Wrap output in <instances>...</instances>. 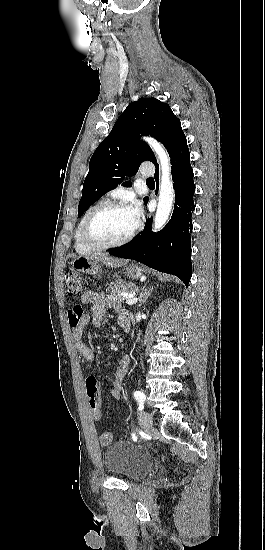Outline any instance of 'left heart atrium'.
Instances as JSON below:
<instances>
[{"label":"left heart atrium","mask_w":265,"mask_h":550,"mask_svg":"<svg viewBox=\"0 0 265 550\" xmlns=\"http://www.w3.org/2000/svg\"><path fill=\"white\" fill-rule=\"evenodd\" d=\"M133 216V218L135 219L136 223L139 222L140 220V217H141V207L139 205V203L137 202H134L132 203V205L129 206L128 208Z\"/></svg>","instance_id":"left-heart-atrium-1"}]
</instances>
